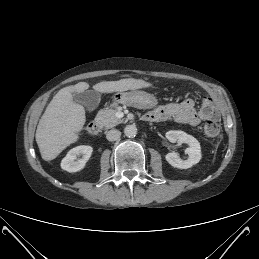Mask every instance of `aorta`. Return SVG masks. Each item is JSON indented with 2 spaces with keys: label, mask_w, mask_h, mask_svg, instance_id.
Returning a JSON list of instances; mask_svg holds the SVG:
<instances>
[{
  "label": "aorta",
  "mask_w": 259,
  "mask_h": 259,
  "mask_svg": "<svg viewBox=\"0 0 259 259\" xmlns=\"http://www.w3.org/2000/svg\"><path fill=\"white\" fill-rule=\"evenodd\" d=\"M124 134L125 136L129 137V138H133L136 136L137 134V128L135 125H127L125 128H124Z\"/></svg>",
  "instance_id": "aorta-1"
}]
</instances>
